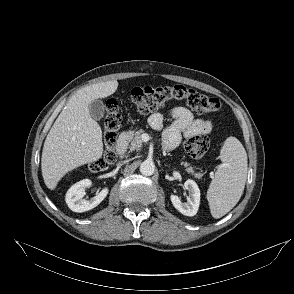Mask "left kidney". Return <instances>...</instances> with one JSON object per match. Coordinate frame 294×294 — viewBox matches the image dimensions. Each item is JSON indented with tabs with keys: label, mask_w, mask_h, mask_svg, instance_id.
<instances>
[{
	"label": "left kidney",
	"mask_w": 294,
	"mask_h": 294,
	"mask_svg": "<svg viewBox=\"0 0 294 294\" xmlns=\"http://www.w3.org/2000/svg\"><path fill=\"white\" fill-rule=\"evenodd\" d=\"M184 187L188 190L189 196L186 202H182L176 195H171L170 199L173 206L183 215L194 216L196 215L200 205V189L195 181L188 179L184 183Z\"/></svg>",
	"instance_id": "left-kidney-1"
}]
</instances>
